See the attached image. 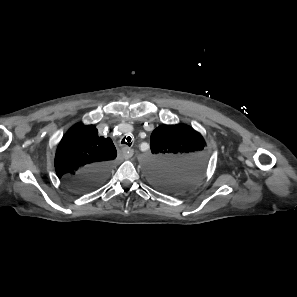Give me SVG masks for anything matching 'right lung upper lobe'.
I'll return each instance as SVG.
<instances>
[{
	"mask_svg": "<svg viewBox=\"0 0 297 297\" xmlns=\"http://www.w3.org/2000/svg\"><path fill=\"white\" fill-rule=\"evenodd\" d=\"M117 156L110 138L98 136L93 125L79 123L61 140L55 157L57 175L68 180L83 169L101 164H111Z\"/></svg>",
	"mask_w": 297,
	"mask_h": 297,
	"instance_id": "1",
	"label": "right lung upper lobe"
}]
</instances>
